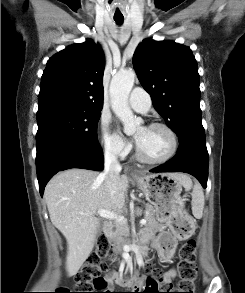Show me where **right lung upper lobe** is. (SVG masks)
Masks as SVG:
<instances>
[{"label":"right lung upper lobe","instance_id":"obj_1","mask_svg":"<svg viewBox=\"0 0 245 293\" xmlns=\"http://www.w3.org/2000/svg\"><path fill=\"white\" fill-rule=\"evenodd\" d=\"M104 67L102 48L90 39L58 52L48 60L43 72L38 110L49 107L101 110Z\"/></svg>","mask_w":245,"mask_h":293}]
</instances>
